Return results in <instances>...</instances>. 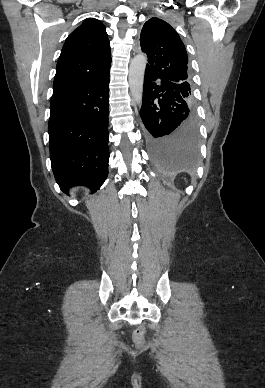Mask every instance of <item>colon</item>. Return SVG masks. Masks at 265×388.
Listing matches in <instances>:
<instances>
[{"mask_svg": "<svg viewBox=\"0 0 265 388\" xmlns=\"http://www.w3.org/2000/svg\"><path fill=\"white\" fill-rule=\"evenodd\" d=\"M145 335V327L140 326L134 331V340L136 343H142Z\"/></svg>", "mask_w": 265, "mask_h": 388, "instance_id": "5ec220e1", "label": "colon"}]
</instances>
